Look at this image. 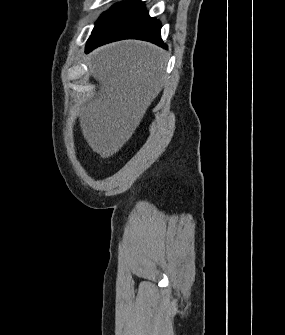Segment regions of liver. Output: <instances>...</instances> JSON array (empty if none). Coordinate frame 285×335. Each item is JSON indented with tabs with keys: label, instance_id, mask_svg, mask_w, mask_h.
<instances>
[{
	"label": "liver",
	"instance_id": "liver-1",
	"mask_svg": "<svg viewBox=\"0 0 285 335\" xmlns=\"http://www.w3.org/2000/svg\"><path fill=\"white\" fill-rule=\"evenodd\" d=\"M101 94L79 114L93 152L110 158L123 148L165 84V52L153 44L125 40L87 58Z\"/></svg>",
	"mask_w": 285,
	"mask_h": 335
}]
</instances>
